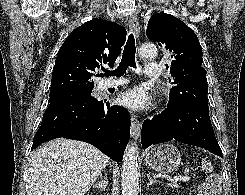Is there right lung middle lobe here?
Instances as JSON below:
<instances>
[{"label":"right lung middle lobe","mask_w":245,"mask_h":195,"mask_svg":"<svg viewBox=\"0 0 245 195\" xmlns=\"http://www.w3.org/2000/svg\"><path fill=\"white\" fill-rule=\"evenodd\" d=\"M92 89V87H82L53 93L50 94L49 102L89 97L91 96Z\"/></svg>","instance_id":"right-lung-middle-lobe-1"}]
</instances>
